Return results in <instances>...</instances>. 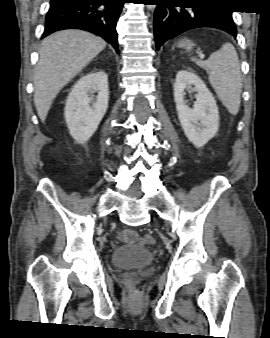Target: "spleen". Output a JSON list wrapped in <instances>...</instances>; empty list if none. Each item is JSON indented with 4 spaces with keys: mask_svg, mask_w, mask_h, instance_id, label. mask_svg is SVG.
Wrapping results in <instances>:
<instances>
[{
    "mask_svg": "<svg viewBox=\"0 0 270 338\" xmlns=\"http://www.w3.org/2000/svg\"><path fill=\"white\" fill-rule=\"evenodd\" d=\"M198 66L207 70L209 82L218 98L230 114L239 112L242 78L237 52L231 43H225L213 52L206 61L192 58Z\"/></svg>",
    "mask_w": 270,
    "mask_h": 338,
    "instance_id": "obj_1",
    "label": "spleen"
}]
</instances>
